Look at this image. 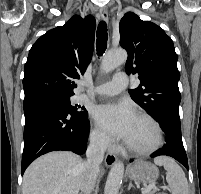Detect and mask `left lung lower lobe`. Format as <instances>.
<instances>
[{
    "instance_id": "1",
    "label": "left lung lower lobe",
    "mask_w": 201,
    "mask_h": 194,
    "mask_svg": "<svg viewBox=\"0 0 201 194\" xmlns=\"http://www.w3.org/2000/svg\"><path fill=\"white\" fill-rule=\"evenodd\" d=\"M166 134V144L151 156L167 155L175 158L188 169V160L181 137V124L178 112L161 111L156 118Z\"/></svg>"
}]
</instances>
